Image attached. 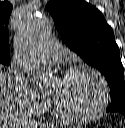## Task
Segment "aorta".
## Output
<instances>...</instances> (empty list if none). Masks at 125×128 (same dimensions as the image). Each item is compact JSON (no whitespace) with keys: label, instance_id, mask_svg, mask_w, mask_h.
I'll use <instances>...</instances> for the list:
<instances>
[{"label":"aorta","instance_id":"obj_1","mask_svg":"<svg viewBox=\"0 0 125 128\" xmlns=\"http://www.w3.org/2000/svg\"><path fill=\"white\" fill-rule=\"evenodd\" d=\"M51 26L48 20L31 16L21 24L15 39V49L21 65L40 88L51 85V75L39 63L36 52L49 37Z\"/></svg>","mask_w":125,"mask_h":128}]
</instances>
